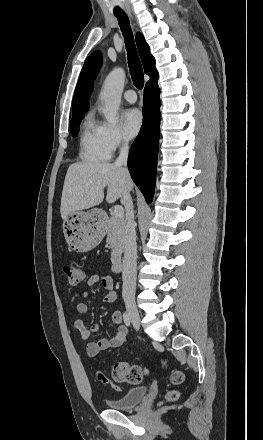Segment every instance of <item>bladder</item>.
Returning <instances> with one entry per match:
<instances>
[{
    "instance_id": "obj_1",
    "label": "bladder",
    "mask_w": 263,
    "mask_h": 440,
    "mask_svg": "<svg viewBox=\"0 0 263 440\" xmlns=\"http://www.w3.org/2000/svg\"><path fill=\"white\" fill-rule=\"evenodd\" d=\"M147 391L146 386L133 387L120 397L107 399L106 404L113 410H130L145 398Z\"/></svg>"
}]
</instances>
